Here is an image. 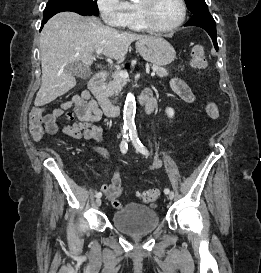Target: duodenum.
<instances>
[{
  "label": "duodenum",
  "mask_w": 261,
  "mask_h": 273,
  "mask_svg": "<svg viewBox=\"0 0 261 273\" xmlns=\"http://www.w3.org/2000/svg\"><path fill=\"white\" fill-rule=\"evenodd\" d=\"M106 79L107 74L105 72H99L95 74L89 83L88 87L89 92L99 93ZM139 102L146 113L152 112L155 107V99L153 98L152 94L149 91H146L143 94H141ZM100 105L103 113L108 117L117 116L121 112V106L119 104L112 103L105 97L101 98Z\"/></svg>",
  "instance_id": "1"
}]
</instances>
